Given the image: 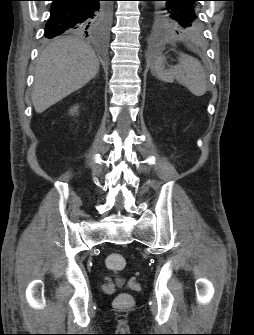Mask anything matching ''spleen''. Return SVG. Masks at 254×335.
Segmentation results:
<instances>
[{
  "label": "spleen",
  "instance_id": "spleen-1",
  "mask_svg": "<svg viewBox=\"0 0 254 335\" xmlns=\"http://www.w3.org/2000/svg\"><path fill=\"white\" fill-rule=\"evenodd\" d=\"M152 70L160 80L169 83L176 80L195 96H202L207 91L206 73L201 63L187 54H181L179 63L165 70L162 55L158 53L153 61Z\"/></svg>",
  "mask_w": 254,
  "mask_h": 335
}]
</instances>
